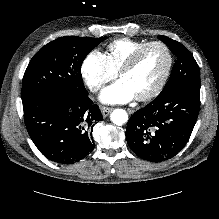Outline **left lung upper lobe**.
Segmentation results:
<instances>
[{
	"mask_svg": "<svg viewBox=\"0 0 219 219\" xmlns=\"http://www.w3.org/2000/svg\"><path fill=\"white\" fill-rule=\"evenodd\" d=\"M159 39L167 44L176 55L169 81L158 96H164L183 84H200V70L193 55L179 42L160 35Z\"/></svg>",
	"mask_w": 219,
	"mask_h": 219,
	"instance_id": "5c2ea615",
	"label": "left lung upper lobe"
}]
</instances>
